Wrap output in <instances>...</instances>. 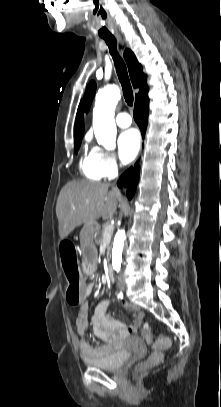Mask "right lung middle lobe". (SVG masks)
<instances>
[{"label": "right lung middle lobe", "instance_id": "dd1d6c3e", "mask_svg": "<svg viewBox=\"0 0 221 407\" xmlns=\"http://www.w3.org/2000/svg\"><path fill=\"white\" fill-rule=\"evenodd\" d=\"M80 143L81 142H76V143H74V148H75V152L77 153V151H78V149H79V147H80Z\"/></svg>", "mask_w": 221, "mask_h": 407}]
</instances>
